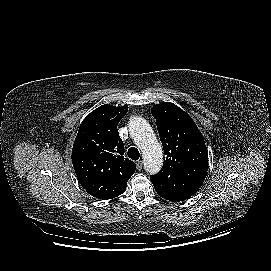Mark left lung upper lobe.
I'll list each match as a JSON object with an SVG mask.
<instances>
[{
  "instance_id": "left-lung-upper-lobe-1",
  "label": "left lung upper lobe",
  "mask_w": 271,
  "mask_h": 271,
  "mask_svg": "<svg viewBox=\"0 0 271 271\" xmlns=\"http://www.w3.org/2000/svg\"><path fill=\"white\" fill-rule=\"evenodd\" d=\"M166 159L159 173L150 177L154 186L163 185L171 175L201 186L208 168V151L202 133L192 118L170 102L152 107Z\"/></svg>"
}]
</instances>
